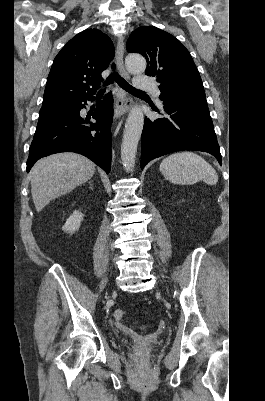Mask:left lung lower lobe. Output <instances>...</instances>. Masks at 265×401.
Segmentation results:
<instances>
[{
    "instance_id": "obj_1",
    "label": "left lung lower lobe",
    "mask_w": 265,
    "mask_h": 401,
    "mask_svg": "<svg viewBox=\"0 0 265 401\" xmlns=\"http://www.w3.org/2000/svg\"><path fill=\"white\" fill-rule=\"evenodd\" d=\"M161 101L166 117L145 118L141 139V168L157 157L182 150L208 152L221 164L219 145L206 98H172Z\"/></svg>"
}]
</instances>
